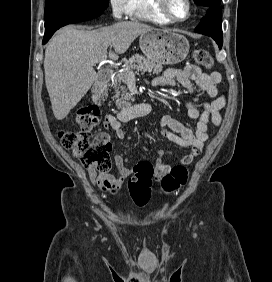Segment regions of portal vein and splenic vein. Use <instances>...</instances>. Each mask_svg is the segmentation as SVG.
I'll list each match as a JSON object with an SVG mask.
<instances>
[{
	"label": "portal vein and splenic vein",
	"instance_id": "18ae733b",
	"mask_svg": "<svg viewBox=\"0 0 272 282\" xmlns=\"http://www.w3.org/2000/svg\"><path fill=\"white\" fill-rule=\"evenodd\" d=\"M106 59H107V55H103L98 60H96L95 63H104ZM129 75L130 76L134 75L133 71H130Z\"/></svg>",
	"mask_w": 272,
	"mask_h": 282
}]
</instances>
